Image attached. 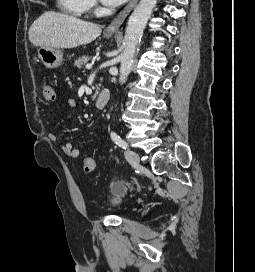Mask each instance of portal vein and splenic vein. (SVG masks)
Returning a JSON list of instances; mask_svg holds the SVG:
<instances>
[{"label": "portal vein and splenic vein", "instance_id": "1", "mask_svg": "<svg viewBox=\"0 0 255 272\" xmlns=\"http://www.w3.org/2000/svg\"><path fill=\"white\" fill-rule=\"evenodd\" d=\"M85 67L86 69L90 70L92 68V64H87Z\"/></svg>", "mask_w": 255, "mask_h": 272}]
</instances>
